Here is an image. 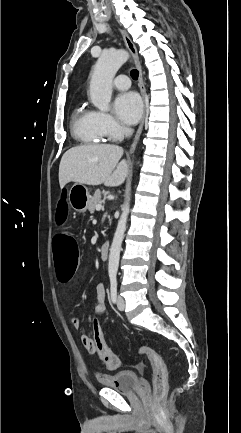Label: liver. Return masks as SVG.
<instances>
[{
  "instance_id": "6515ba94",
  "label": "liver",
  "mask_w": 241,
  "mask_h": 433,
  "mask_svg": "<svg viewBox=\"0 0 241 433\" xmlns=\"http://www.w3.org/2000/svg\"><path fill=\"white\" fill-rule=\"evenodd\" d=\"M122 155L121 147L110 144L82 145L69 149L59 165L60 187L63 188L69 182L104 184L107 187L123 184L128 175V164L125 159L120 161Z\"/></svg>"
}]
</instances>
